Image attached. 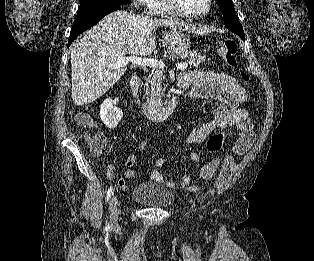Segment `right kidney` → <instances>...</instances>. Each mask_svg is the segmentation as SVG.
Masks as SVG:
<instances>
[{"mask_svg": "<svg viewBox=\"0 0 314 261\" xmlns=\"http://www.w3.org/2000/svg\"><path fill=\"white\" fill-rule=\"evenodd\" d=\"M123 117V112L117 108L112 99L107 98L100 106V118L110 129L115 128Z\"/></svg>", "mask_w": 314, "mask_h": 261, "instance_id": "right-kidney-1", "label": "right kidney"}]
</instances>
